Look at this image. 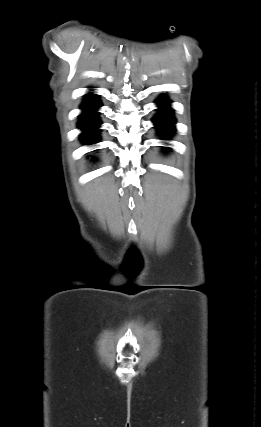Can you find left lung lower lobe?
<instances>
[{
    "mask_svg": "<svg viewBox=\"0 0 261 427\" xmlns=\"http://www.w3.org/2000/svg\"><path fill=\"white\" fill-rule=\"evenodd\" d=\"M156 102L161 107L158 109L159 112L157 116L154 117L153 122L160 133L170 135L175 130V120L171 109L168 107L169 101L165 97H160Z\"/></svg>",
    "mask_w": 261,
    "mask_h": 427,
    "instance_id": "left-lung-lower-lobe-1",
    "label": "left lung lower lobe"
}]
</instances>
